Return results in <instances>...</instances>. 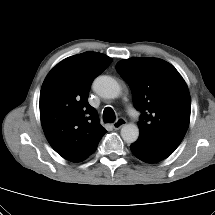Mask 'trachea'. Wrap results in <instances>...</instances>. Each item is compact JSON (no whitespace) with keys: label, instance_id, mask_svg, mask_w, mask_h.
I'll return each mask as SVG.
<instances>
[{"label":"trachea","instance_id":"trachea-1","mask_svg":"<svg viewBox=\"0 0 215 215\" xmlns=\"http://www.w3.org/2000/svg\"><path fill=\"white\" fill-rule=\"evenodd\" d=\"M115 113L111 107H106L103 111V120L105 123H113L115 121Z\"/></svg>","mask_w":215,"mask_h":215}]
</instances>
